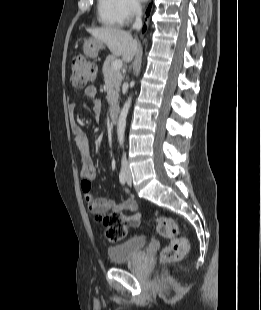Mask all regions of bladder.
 Listing matches in <instances>:
<instances>
[{
    "instance_id": "obj_1",
    "label": "bladder",
    "mask_w": 261,
    "mask_h": 310,
    "mask_svg": "<svg viewBox=\"0 0 261 310\" xmlns=\"http://www.w3.org/2000/svg\"><path fill=\"white\" fill-rule=\"evenodd\" d=\"M146 246L143 236H131L117 244L111 245L107 249L109 259L115 264H121L132 260Z\"/></svg>"
}]
</instances>
